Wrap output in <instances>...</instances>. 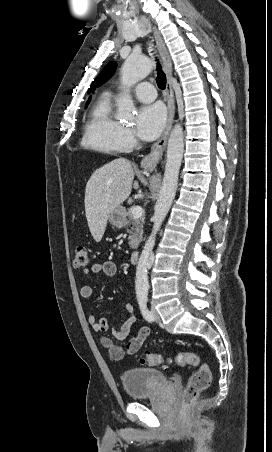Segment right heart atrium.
<instances>
[{"label":"right heart atrium","instance_id":"d8ad5b80","mask_svg":"<svg viewBox=\"0 0 272 452\" xmlns=\"http://www.w3.org/2000/svg\"><path fill=\"white\" fill-rule=\"evenodd\" d=\"M121 138L125 151L133 148L137 144L136 136L132 129L123 127L121 131Z\"/></svg>","mask_w":272,"mask_h":452}]
</instances>
